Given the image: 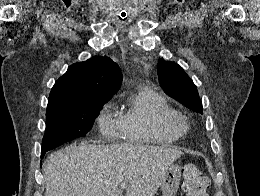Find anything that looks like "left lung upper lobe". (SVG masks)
Wrapping results in <instances>:
<instances>
[{"mask_svg":"<svg viewBox=\"0 0 260 196\" xmlns=\"http://www.w3.org/2000/svg\"><path fill=\"white\" fill-rule=\"evenodd\" d=\"M157 72L159 83L167 95L187 108L202 114V102L197 88L178 64L160 59Z\"/></svg>","mask_w":260,"mask_h":196,"instance_id":"left-lung-upper-lobe-1","label":"left lung upper lobe"}]
</instances>
